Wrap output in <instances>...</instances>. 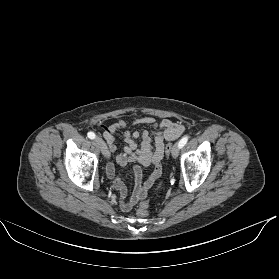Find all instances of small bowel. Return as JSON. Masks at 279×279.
I'll return each instance as SVG.
<instances>
[{
    "instance_id": "c3829d8e",
    "label": "small bowel",
    "mask_w": 279,
    "mask_h": 279,
    "mask_svg": "<svg viewBox=\"0 0 279 279\" xmlns=\"http://www.w3.org/2000/svg\"><path fill=\"white\" fill-rule=\"evenodd\" d=\"M148 125L153 132V139L148 131L140 134L138 131L126 130L123 132L125 146L123 152L117 151L115 133L127 127V122L120 119L111 125L104 132V137L109 144L116 162L120 166H126L130 162H138L144 166H152L150 174L146 180L142 181V170L139 166L133 168L136 178V186L133 195L127 199V187L118 175L113 163L106 165V174L112 180L114 187L120 194V208L123 211L131 210L138 201L147 196L148 191L160 176L164 156V144L166 141L178 138L185 130L184 126L173 122L170 119H162L157 122L154 117H134L131 120V126ZM141 137V143L138 145L137 139Z\"/></svg>"
}]
</instances>
